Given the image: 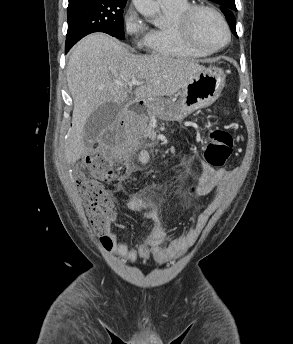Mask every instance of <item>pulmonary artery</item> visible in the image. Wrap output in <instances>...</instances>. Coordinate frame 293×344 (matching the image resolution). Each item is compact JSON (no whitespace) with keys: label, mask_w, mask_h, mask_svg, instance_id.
I'll return each mask as SVG.
<instances>
[{"label":"pulmonary artery","mask_w":293,"mask_h":344,"mask_svg":"<svg viewBox=\"0 0 293 344\" xmlns=\"http://www.w3.org/2000/svg\"><path fill=\"white\" fill-rule=\"evenodd\" d=\"M162 4H169V3H173L177 0H160Z\"/></svg>","instance_id":"e3ab8cb5"}]
</instances>
